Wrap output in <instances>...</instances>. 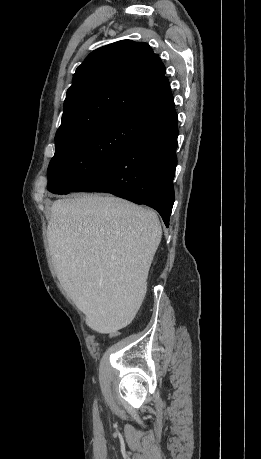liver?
I'll list each match as a JSON object with an SVG mask.
<instances>
[{
  "mask_svg": "<svg viewBox=\"0 0 261 459\" xmlns=\"http://www.w3.org/2000/svg\"><path fill=\"white\" fill-rule=\"evenodd\" d=\"M162 237L157 214L114 196L53 202L48 245L67 296L99 333L122 328L145 286Z\"/></svg>",
  "mask_w": 261,
  "mask_h": 459,
  "instance_id": "liver-1",
  "label": "liver"
}]
</instances>
